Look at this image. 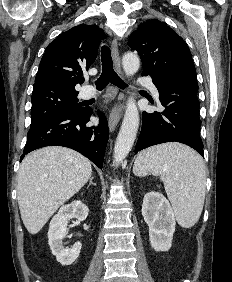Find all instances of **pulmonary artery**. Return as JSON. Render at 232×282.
Returning a JSON list of instances; mask_svg holds the SVG:
<instances>
[{
    "label": "pulmonary artery",
    "instance_id": "1",
    "mask_svg": "<svg viewBox=\"0 0 232 282\" xmlns=\"http://www.w3.org/2000/svg\"><path fill=\"white\" fill-rule=\"evenodd\" d=\"M138 82L142 85L147 86V88L152 92L155 97L159 96L158 90L156 86L152 83V81L148 78H140ZM96 96L95 90L92 86H86L81 92V98L83 99H91Z\"/></svg>",
    "mask_w": 232,
    "mask_h": 282
}]
</instances>
